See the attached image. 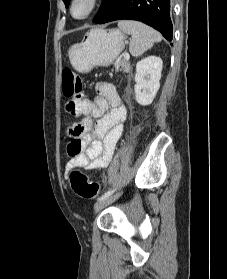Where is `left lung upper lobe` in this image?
<instances>
[{
	"instance_id": "left-lung-upper-lobe-1",
	"label": "left lung upper lobe",
	"mask_w": 227,
	"mask_h": 279,
	"mask_svg": "<svg viewBox=\"0 0 227 279\" xmlns=\"http://www.w3.org/2000/svg\"><path fill=\"white\" fill-rule=\"evenodd\" d=\"M63 2L65 3V6L68 7L70 0H63Z\"/></svg>"
}]
</instances>
